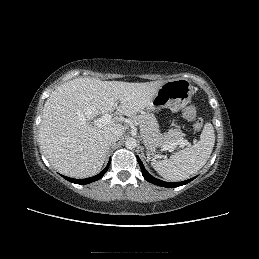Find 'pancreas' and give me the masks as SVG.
<instances>
[{
  "label": "pancreas",
  "instance_id": "pancreas-1",
  "mask_svg": "<svg viewBox=\"0 0 259 259\" xmlns=\"http://www.w3.org/2000/svg\"><path fill=\"white\" fill-rule=\"evenodd\" d=\"M131 120L140 126L145 145L168 147L172 143H177L174 146L176 147L181 146L180 142L184 140V134L177 129L169 130L164 134L160 133L159 124L153 114L137 115Z\"/></svg>",
  "mask_w": 259,
  "mask_h": 259
}]
</instances>
